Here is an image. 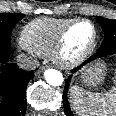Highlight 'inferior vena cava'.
<instances>
[{
  "label": "inferior vena cava",
  "instance_id": "1",
  "mask_svg": "<svg viewBox=\"0 0 116 116\" xmlns=\"http://www.w3.org/2000/svg\"><path fill=\"white\" fill-rule=\"evenodd\" d=\"M17 64L21 69L34 70L39 66L38 61L33 59L31 56L20 55L17 57Z\"/></svg>",
  "mask_w": 116,
  "mask_h": 116
}]
</instances>
